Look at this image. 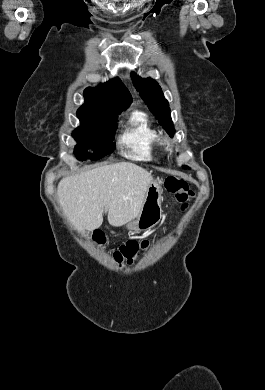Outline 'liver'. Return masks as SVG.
<instances>
[{"label":"liver","instance_id":"obj_1","mask_svg":"<svg viewBox=\"0 0 265 390\" xmlns=\"http://www.w3.org/2000/svg\"><path fill=\"white\" fill-rule=\"evenodd\" d=\"M152 181L144 168L119 162L63 178L57 196L67 219L82 233L99 228L104 211L114 227L134 220Z\"/></svg>","mask_w":265,"mask_h":390}]
</instances>
